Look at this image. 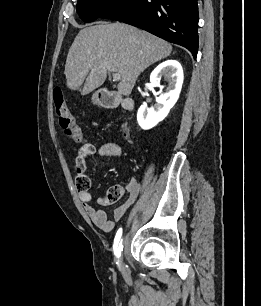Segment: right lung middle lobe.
Returning a JSON list of instances; mask_svg holds the SVG:
<instances>
[{"mask_svg": "<svg viewBox=\"0 0 261 306\" xmlns=\"http://www.w3.org/2000/svg\"><path fill=\"white\" fill-rule=\"evenodd\" d=\"M122 0H78L77 13L84 22H91Z\"/></svg>", "mask_w": 261, "mask_h": 306, "instance_id": "dd1d6c3e", "label": "right lung middle lobe"}]
</instances>
